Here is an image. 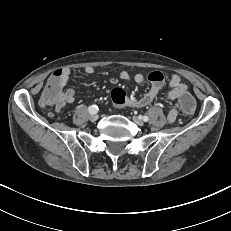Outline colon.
<instances>
[{
	"instance_id": "obj_1",
	"label": "colon",
	"mask_w": 231,
	"mask_h": 231,
	"mask_svg": "<svg viewBox=\"0 0 231 231\" xmlns=\"http://www.w3.org/2000/svg\"><path fill=\"white\" fill-rule=\"evenodd\" d=\"M63 71L59 68L50 69L47 72L48 80L45 83V92L41 93V102L44 106L54 105L57 99V92L59 91V82L63 78ZM179 108L183 111L185 116H193L196 111L195 98L187 93L186 89L178 90ZM112 101L116 105H125L127 101V95L124 90L116 88L111 93Z\"/></svg>"
}]
</instances>
